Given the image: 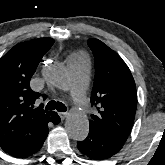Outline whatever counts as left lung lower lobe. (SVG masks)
I'll return each mask as SVG.
<instances>
[{"label": "left lung lower lobe", "mask_w": 165, "mask_h": 165, "mask_svg": "<svg viewBox=\"0 0 165 165\" xmlns=\"http://www.w3.org/2000/svg\"><path fill=\"white\" fill-rule=\"evenodd\" d=\"M124 140L115 138L102 130L90 126L84 141L77 143L81 153L94 160L107 159L120 151Z\"/></svg>", "instance_id": "left-lung-lower-lobe-1"}]
</instances>
